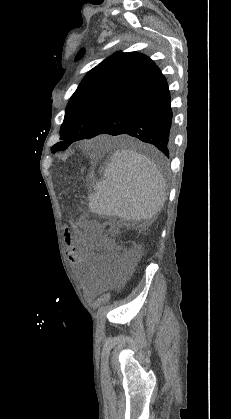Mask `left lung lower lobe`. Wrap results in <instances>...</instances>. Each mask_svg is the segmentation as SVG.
I'll list each match as a JSON object with an SVG mask.
<instances>
[{"label": "left lung lower lobe", "instance_id": "1", "mask_svg": "<svg viewBox=\"0 0 231 419\" xmlns=\"http://www.w3.org/2000/svg\"><path fill=\"white\" fill-rule=\"evenodd\" d=\"M170 93L159 68L113 109L86 138L128 134L154 145L169 158L172 145Z\"/></svg>", "mask_w": 231, "mask_h": 419}]
</instances>
